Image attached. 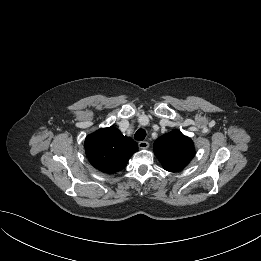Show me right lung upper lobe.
Masks as SVG:
<instances>
[{"label": "right lung upper lobe", "instance_id": "obj_1", "mask_svg": "<svg viewBox=\"0 0 261 261\" xmlns=\"http://www.w3.org/2000/svg\"><path fill=\"white\" fill-rule=\"evenodd\" d=\"M137 151V143L124 136L117 128H102L85 139V152L90 163L104 173L124 169Z\"/></svg>", "mask_w": 261, "mask_h": 261}]
</instances>
